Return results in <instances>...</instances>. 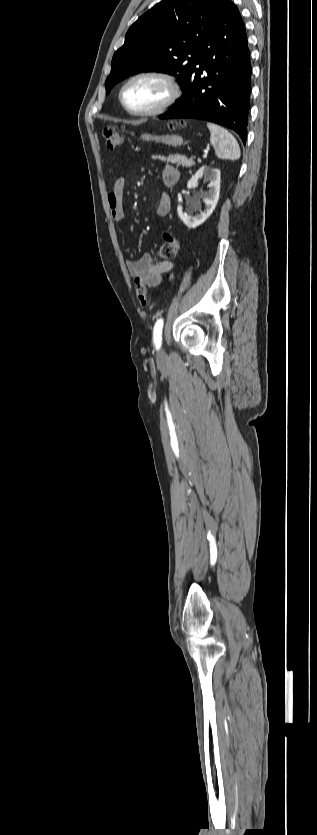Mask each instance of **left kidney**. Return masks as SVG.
I'll return each mask as SVG.
<instances>
[{
	"instance_id": "1",
	"label": "left kidney",
	"mask_w": 317,
	"mask_h": 835,
	"mask_svg": "<svg viewBox=\"0 0 317 835\" xmlns=\"http://www.w3.org/2000/svg\"><path fill=\"white\" fill-rule=\"evenodd\" d=\"M202 178H204L205 181H209V190L203 195L205 209L201 211L200 205H196L195 209H199L200 212L196 214L194 217H191L183 211L181 205H178L177 207V212L180 219L188 228H196L202 223H204L213 213L219 200L220 170L217 168H211L209 166H202L196 172V174L192 176V178L188 181L187 188H195Z\"/></svg>"
}]
</instances>
